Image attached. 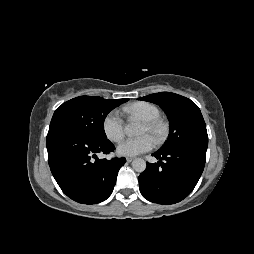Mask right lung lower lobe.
<instances>
[{"label": "right lung lower lobe", "instance_id": "obj_1", "mask_svg": "<svg viewBox=\"0 0 254 254\" xmlns=\"http://www.w3.org/2000/svg\"><path fill=\"white\" fill-rule=\"evenodd\" d=\"M48 162L51 172L72 200L94 204L112 193L125 158L99 159L115 147L108 140H98L64 127H50L47 135Z\"/></svg>", "mask_w": 254, "mask_h": 254}]
</instances>
